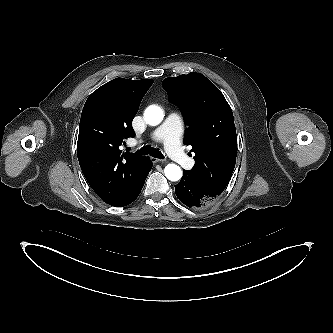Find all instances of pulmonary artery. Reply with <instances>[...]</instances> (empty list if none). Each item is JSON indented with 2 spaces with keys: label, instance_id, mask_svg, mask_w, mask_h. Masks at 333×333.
<instances>
[{
  "label": "pulmonary artery",
  "instance_id": "pulmonary-artery-1",
  "mask_svg": "<svg viewBox=\"0 0 333 333\" xmlns=\"http://www.w3.org/2000/svg\"><path fill=\"white\" fill-rule=\"evenodd\" d=\"M182 134V117L178 113L172 112L167 116L163 124L152 133V138L164 144L167 153L174 161L182 167L190 169L193 167L194 161L181 147Z\"/></svg>",
  "mask_w": 333,
  "mask_h": 333
}]
</instances>
